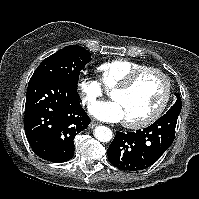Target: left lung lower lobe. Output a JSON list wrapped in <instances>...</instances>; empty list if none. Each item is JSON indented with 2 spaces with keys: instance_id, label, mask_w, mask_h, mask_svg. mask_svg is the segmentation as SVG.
Masks as SVG:
<instances>
[{
  "instance_id": "obj_1",
  "label": "left lung lower lobe",
  "mask_w": 199,
  "mask_h": 199,
  "mask_svg": "<svg viewBox=\"0 0 199 199\" xmlns=\"http://www.w3.org/2000/svg\"><path fill=\"white\" fill-rule=\"evenodd\" d=\"M179 113L167 112L155 123L136 132H116L107 154L115 167L139 171L154 164L169 148L175 137Z\"/></svg>"
}]
</instances>
